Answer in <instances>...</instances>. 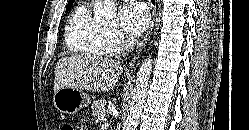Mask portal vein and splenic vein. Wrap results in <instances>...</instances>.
<instances>
[{
  "label": "portal vein and splenic vein",
  "mask_w": 249,
  "mask_h": 130,
  "mask_svg": "<svg viewBox=\"0 0 249 130\" xmlns=\"http://www.w3.org/2000/svg\"><path fill=\"white\" fill-rule=\"evenodd\" d=\"M104 119H105V113L102 112L98 115V120L103 121Z\"/></svg>",
  "instance_id": "portal-vein-and-splenic-vein-1"
}]
</instances>
